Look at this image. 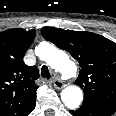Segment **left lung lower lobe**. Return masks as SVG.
<instances>
[{"mask_svg":"<svg viewBox=\"0 0 116 116\" xmlns=\"http://www.w3.org/2000/svg\"><path fill=\"white\" fill-rule=\"evenodd\" d=\"M116 111V104L100 101H83L76 111H70L73 116H111Z\"/></svg>","mask_w":116,"mask_h":116,"instance_id":"left-lung-lower-lobe-1","label":"left lung lower lobe"}]
</instances>
